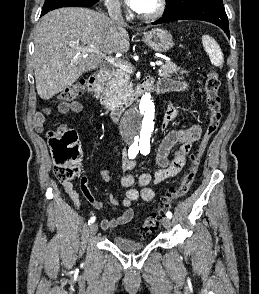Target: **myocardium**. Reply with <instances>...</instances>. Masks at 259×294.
<instances>
[{"label": "myocardium", "instance_id": "myocardium-1", "mask_svg": "<svg viewBox=\"0 0 259 294\" xmlns=\"http://www.w3.org/2000/svg\"><path fill=\"white\" fill-rule=\"evenodd\" d=\"M157 8L148 14H141L139 12L136 13L137 17L145 20V21H151L156 20L164 15L167 9V0H158Z\"/></svg>", "mask_w": 259, "mask_h": 294}]
</instances>
